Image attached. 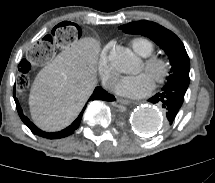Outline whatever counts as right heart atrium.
Masks as SVG:
<instances>
[{
  "label": "right heart atrium",
  "mask_w": 215,
  "mask_h": 183,
  "mask_svg": "<svg viewBox=\"0 0 215 183\" xmlns=\"http://www.w3.org/2000/svg\"><path fill=\"white\" fill-rule=\"evenodd\" d=\"M108 51L109 47L106 46L100 54L99 72L104 85L108 89H112L114 87V83L116 80V73L114 72L112 66L110 65Z\"/></svg>",
  "instance_id": "obj_1"
}]
</instances>
